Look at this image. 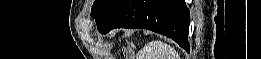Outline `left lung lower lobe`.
<instances>
[{
    "label": "left lung lower lobe",
    "mask_w": 261,
    "mask_h": 59,
    "mask_svg": "<svg viewBox=\"0 0 261 59\" xmlns=\"http://www.w3.org/2000/svg\"><path fill=\"white\" fill-rule=\"evenodd\" d=\"M189 22L184 0H120L97 29L102 34L123 27L148 29L172 38L189 52Z\"/></svg>",
    "instance_id": "left-lung-lower-lobe-1"
}]
</instances>
